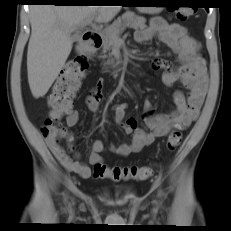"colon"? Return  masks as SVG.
<instances>
[{
    "instance_id": "5ec220e1",
    "label": "colon",
    "mask_w": 231,
    "mask_h": 231,
    "mask_svg": "<svg viewBox=\"0 0 231 231\" xmlns=\"http://www.w3.org/2000/svg\"><path fill=\"white\" fill-rule=\"evenodd\" d=\"M190 13L191 10L189 9H178L176 10V18L179 21H185ZM87 68L88 62L83 56L69 60L63 67L48 96L50 114L42 129L45 137L53 136L55 140L67 137V130L54 123L71 111L73 99L86 75ZM181 141L180 131H172L167 138V148L171 151L175 150L181 144ZM151 174L152 169L147 166L108 167L104 163L94 165V176L96 178H108L113 181L146 180Z\"/></svg>"
}]
</instances>
